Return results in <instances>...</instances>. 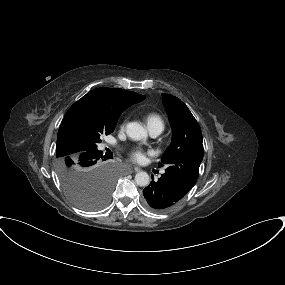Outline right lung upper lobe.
I'll use <instances>...</instances> for the list:
<instances>
[{
	"mask_svg": "<svg viewBox=\"0 0 285 285\" xmlns=\"http://www.w3.org/2000/svg\"><path fill=\"white\" fill-rule=\"evenodd\" d=\"M145 97L120 88H97L75 102L65 114L59 127L57 146L80 126L117 123L121 113Z\"/></svg>",
	"mask_w": 285,
	"mask_h": 285,
	"instance_id": "1",
	"label": "right lung upper lobe"
}]
</instances>
